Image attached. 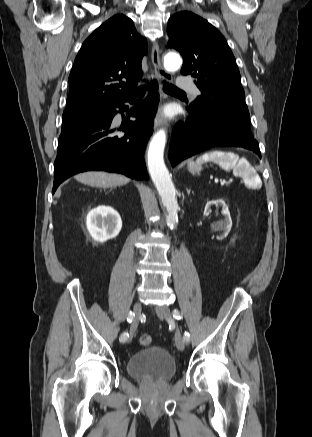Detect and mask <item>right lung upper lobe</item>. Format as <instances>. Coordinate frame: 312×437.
<instances>
[{
  "label": "right lung upper lobe",
  "instance_id": "cb5924a9",
  "mask_svg": "<svg viewBox=\"0 0 312 437\" xmlns=\"http://www.w3.org/2000/svg\"><path fill=\"white\" fill-rule=\"evenodd\" d=\"M147 52L132 20L118 14L82 44L69 76L67 109L109 108L136 91ZM125 80V81H123Z\"/></svg>",
  "mask_w": 312,
  "mask_h": 437
}]
</instances>
